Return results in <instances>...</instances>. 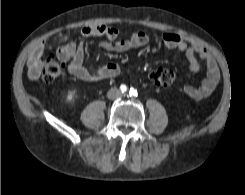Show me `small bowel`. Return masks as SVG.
<instances>
[{
	"mask_svg": "<svg viewBox=\"0 0 245 195\" xmlns=\"http://www.w3.org/2000/svg\"><path fill=\"white\" fill-rule=\"evenodd\" d=\"M80 33L84 37L103 36L106 38L101 43L102 48L107 51L123 52L130 49L146 46L149 37L145 32H136L127 39H118L119 30L107 25L84 26ZM165 47L177 49L186 56L188 67L192 72H198L201 62L206 66V78L197 87L187 86L183 93L190 99L199 100L209 96L216 88L220 80V69L211 52L202 44L186 36L176 33H165L162 36ZM57 56L65 62H69V72L84 81H99L117 76L120 66L109 63L96 69H87L84 64L85 45L83 42H75L70 37L63 36L58 41ZM45 45L38 44L28 58V76L32 80L39 78L41 73V57Z\"/></svg>",
	"mask_w": 245,
	"mask_h": 195,
	"instance_id": "small-bowel-1",
	"label": "small bowel"
}]
</instances>
